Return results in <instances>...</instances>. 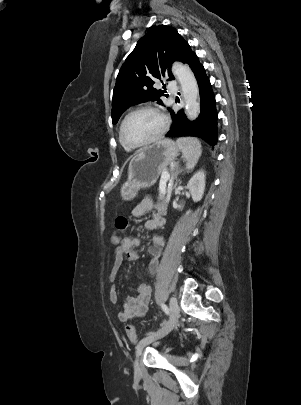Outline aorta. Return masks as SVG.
<instances>
[{
  "label": "aorta",
  "instance_id": "aorta-1",
  "mask_svg": "<svg viewBox=\"0 0 301 405\" xmlns=\"http://www.w3.org/2000/svg\"><path fill=\"white\" fill-rule=\"evenodd\" d=\"M172 72L181 84L187 118L195 120L200 113L199 88L196 78L191 69L182 63L174 64Z\"/></svg>",
  "mask_w": 301,
  "mask_h": 405
}]
</instances>
